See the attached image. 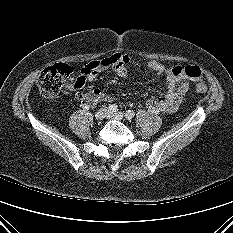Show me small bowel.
Returning a JSON list of instances; mask_svg holds the SVG:
<instances>
[{
	"instance_id": "1",
	"label": "small bowel",
	"mask_w": 233,
	"mask_h": 233,
	"mask_svg": "<svg viewBox=\"0 0 233 233\" xmlns=\"http://www.w3.org/2000/svg\"><path fill=\"white\" fill-rule=\"evenodd\" d=\"M132 61V57L126 53H114L100 60H94L85 65L81 70V84L74 83L73 87L80 89L86 82L94 84L100 73L111 70L121 78L128 77L127 65ZM180 66L168 68L158 61H149L147 68L165 78L167 84V92L162 97L150 96L146 100V106L153 112L171 113L177 110L183 97L188 91V80L196 81L198 79L188 78L182 75H176L174 70ZM84 100L89 104H97L100 102H110L112 97L105 94L98 88L89 90L84 95Z\"/></svg>"
}]
</instances>
